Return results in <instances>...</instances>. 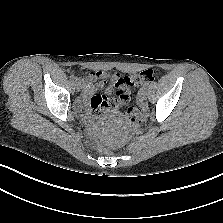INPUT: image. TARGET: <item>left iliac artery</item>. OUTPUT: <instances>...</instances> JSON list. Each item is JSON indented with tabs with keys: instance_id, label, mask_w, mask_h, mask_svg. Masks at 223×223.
Instances as JSON below:
<instances>
[{
	"instance_id": "1",
	"label": "left iliac artery",
	"mask_w": 223,
	"mask_h": 223,
	"mask_svg": "<svg viewBox=\"0 0 223 223\" xmlns=\"http://www.w3.org/2000/svg\"><path fill=\"white\" fill-rule=\"evenodd\" d=\"M147 85H145L143 88L146 89Z\"/></svg>"
}]
</instances>
